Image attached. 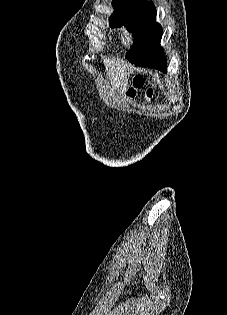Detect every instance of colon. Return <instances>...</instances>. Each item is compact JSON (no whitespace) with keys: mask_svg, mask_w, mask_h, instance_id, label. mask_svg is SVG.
Listing matches in <instances>:
<instances>
[{"mask_svg":"<svg viewBox=\"0 0 227 315\" xmlns=\"http://www.w3.org/2000/svg\"><path fill=\"white\" fill-rule=\"evenodd\" d=\"M144 85H145V79H144L143 75L136 74L133 77V79L131 81V85L128 89V92H127L128 96L133 97L135 95L136 91L141 90L144 87ZM152 94H153L152 88H150V87L147 88L146 97L150 98L152 96Z\"/></svg>","mask_w":227,"mask_h":315,"instance_id":"obj_1","label":"colon"}]
</instances>
